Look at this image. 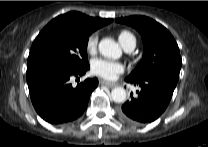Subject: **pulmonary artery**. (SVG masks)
Returning a JSON list of instances; mask_svg holds the SVG:
<instances>
[{"instance_id":"obj_1","label":"pulmonary artery","mask_w":208,"mask_h":147,"mask_svg":"<svg viewBox=\"0 0 208 147\" xmlns=\"http://www.w3.org/2000/svg\"><path fill=\"white\" fill-rule=\"evenodd\" d=\"M135 46H136V40L133 39V40L129 43V45L125 48V50H126L127 52H131V51L134 50Z\"/></svg>"}]
</instances>
